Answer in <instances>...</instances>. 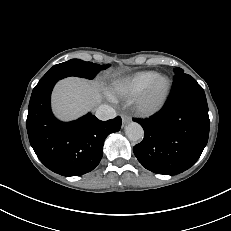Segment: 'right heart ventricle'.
Instances as JSON below:
<instances>
[{"instance_id": "1", "label": "right heart ventricle", "mask_w": 231, "mask_h": 231, "mask_svg": "<svg viewBox=\"0 0 231 231\" xmlns=\"http://www.w3.org/2000/svg\"><path fill=\"white\" fill-rule=\"evenodd\" d=\"M158 74L154 71H139L113 83L111 96L129 98L144 91Z\"/></svg>"}]
</instances>
